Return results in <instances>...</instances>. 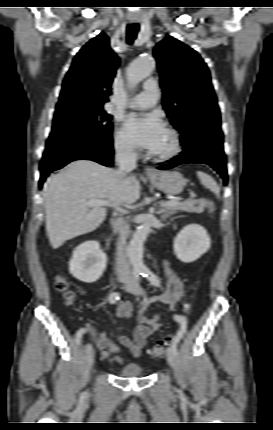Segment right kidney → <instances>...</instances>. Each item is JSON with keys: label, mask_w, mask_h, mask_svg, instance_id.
I'll return each mask as SVG.
<instances>
[{"label": "right kidney", "mask_w": 273, "mask_h": 430, "mask_svg": "<svg viewBox=\"0 0 273 430\" xmlns=\"http://www.w3.org/2000/svg\"><path fill=\"white\" fill-rule=\"evenodd\" d=\"M106 254L97 241H86L77 246L69 262V271L74 278L84 283H94L106 269Z\"/></svg>", "instance_id": "obj_1"}]
</instances>
